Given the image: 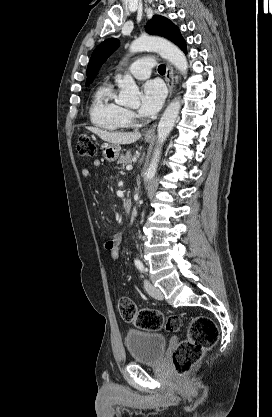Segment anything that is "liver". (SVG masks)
Returning a JSON list of instances; mask_svg holds the SVG:
<instances>
[{
	"label": "liver",
	"instance_id": "6515ba94",
	"mask_svg": "<svg viewBox=\"0 0 272 417\" xmlns=\"http://www.w3.org/2000/svg\"><path fill=\"white\" fill-rule=\"evenodd\" d=\"M87 129L98 135L102 140L114 144H131L141 137L140 132H109L97 127H87Z\"/></svg>",
	"mask_w": 272,
	"mask_h": 417
}]
</instances>
